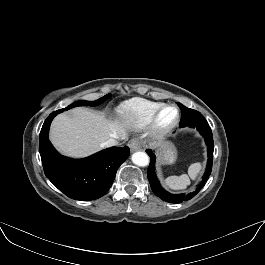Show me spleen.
I'll return each mask as SVG.
<instances>
[{
    "label": "spleen",
    "instance_id": "1",
    "mask_svg": "<svg viewBox=\"0 0 265 265\" xmlns=\"http://www.w3.org/2000/svg\"><path fill=\"white\" fill-rule=\"evenodd\" d=\"M202 166L200 163H193L188 168V175L182 174L181 176H170L166 178V185L173 190H182L190 184V179H196L200 173Z\"/></svg>",
    "mask_w": 265,
    "mask_h": 265
}]
</instances>
